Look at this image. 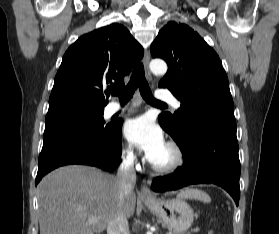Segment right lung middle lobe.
Segmentation results:
<instances>
[{
	"label": "right lung middle lobe",
	"instance_id": "1",
	"mask_svg": "<svg viewBox=\"0 0 279 234\" xmlns=\"http://www.w3.org/2000/svg\"><path fill=\"white\" fill-rule=\"evenodd\" d=\"M103 108L67 105L48 110L45 121V134L67 129H84L106 135L112 124H105Z\"/></svg>",
	"mask_w": 279,
	"mask_h": 234
}]
</instances>
